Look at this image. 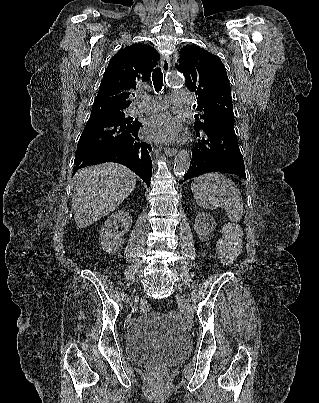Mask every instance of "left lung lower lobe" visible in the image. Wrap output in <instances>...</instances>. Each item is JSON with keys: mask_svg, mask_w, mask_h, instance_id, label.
I'll return each mask as SVG.
<instances>
[{"mask_svg": "<svg viewBox=\"0 0 319 403\" xmlns=\"http://www.w3.org/2000/svg\"><path fill=\"white\" fill-rule=\"evenodd\" d=\"M196 133L198 141L184 181L208 172L231 173L246 178L234 118L219 119L203 129H196Z\"/></svg>", "mask_w": 319, "mask_h": 403, "instance_id": "1", "label": "left lung lower lobe"}]
</instances>
